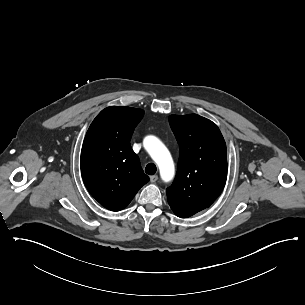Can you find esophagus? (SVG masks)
Instances as JSON below:
<instances>
[{
    "mask_svg": "<svg viewBox=\"0 0 305 305\" xmlns=\"http://www.w3.org/2000/svg\"><path fill=\"white\" fill-rule=\"evenodd\" d=\"M158 180V176L157 175H152L150 176V182H156Z\"/></svg>",
    "mask_w": 305,
    "mask_h": 305,
    "instance_id": "34e87169",
    "label": "esophagus"
}]
</instances>
